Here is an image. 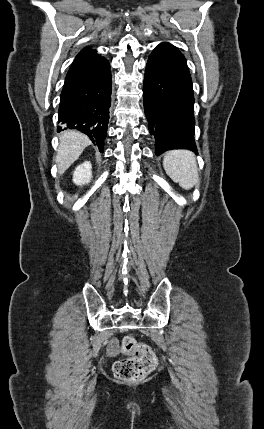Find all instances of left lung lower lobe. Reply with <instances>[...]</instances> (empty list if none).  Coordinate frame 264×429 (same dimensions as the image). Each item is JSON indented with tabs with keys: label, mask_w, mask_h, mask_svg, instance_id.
<instances>
[{
	"label": "left lung lower lobe",
	"mask_w": 264,
	"mask_h": 429,
	"mask_svg": "<svg viewBox=\"0 0 264 429\" xmlns=\"http://www.w3.org/2000/svg\"><path fill=\"white\" fill-rule=\"evenodd\" d=\"M143 100L156 155L171 149L197 153L191 76L185 57L175 46L161 43L149 56Z\"/></svg>",
	"instance_id": "left-lung-lower-lobe-1"
}]
</instances>
